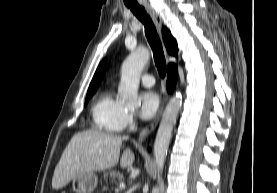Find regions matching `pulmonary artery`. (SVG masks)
Wrapping results in <instances>:
<instances>
[{
    "mask_svg": "<svg viewBox=\"0 0 277 193\" xmlns=\"http://www.w3.org/2000/svg\"><path fill=\"white\" fill-rule=\"evenodd\" d=\"M141 82L146 87H152L154 85V83H155V79L150 74H144L141 77Z\"/></svg>",
    "mask_w": 277,
    "mask_h": 193,
    "instance_id": "1",
    "label": "pulmonary artery"
}]
</instances>
